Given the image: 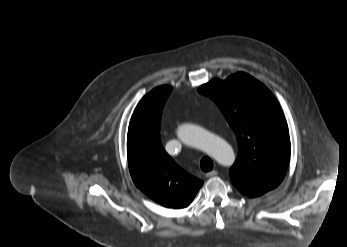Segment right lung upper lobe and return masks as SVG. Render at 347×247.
Instances as JSON below:
<instances>
[{"label": "right lung upper lobe", "instance_id": "1", "mask_svg": "<svg viewBox=\"0 0 347 247\" xmlns=\"http://www.w3.org/2000/svg\"><path fill=\"white\" fill-rule=\"evenodd\" d=\"M171 86L153 89L136 106L127 134V155L135 185L167 208L187 207L203 182L180 168L163 149L162 109Z\"/></svg>", "mask_w": 347, "mask_h": 247}]
</instances>
